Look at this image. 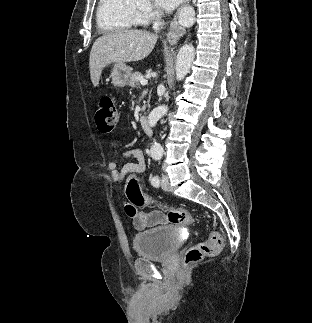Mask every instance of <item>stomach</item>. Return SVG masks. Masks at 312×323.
I'll return each instance as SVG.
<instances>
[{"mask_svg": "<svg viewBox=\"0 0 312 323\" xmlns=\"http://www.w3.org/2000/svg\"><path fill=\"white\" fill-rule=\"evenodd\" d=\"M131 76V70L125 64H115L112 68L111 76L112 84L118 86V88H124L129 82Z\"/></svg>", "mask_w": 312, "mask_h": 323, "instance_id": "1", "label": "stomach"}]
</instances>
